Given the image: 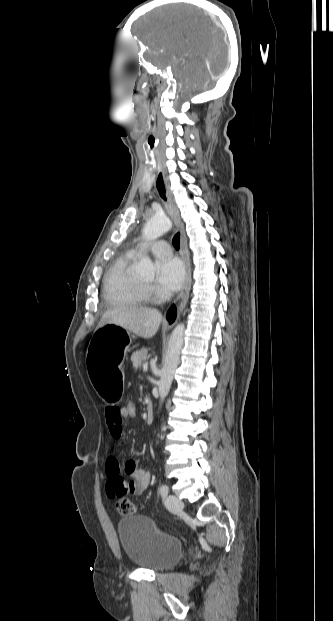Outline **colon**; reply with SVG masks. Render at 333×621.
I'll list each match as a JSON object with an SVG mask.
<instances>
[{"instance_id":"5ec220e1","label":"colon","mask_w":333,"mask_h":621,"mask_svg":"<svg viewBox=\"0 0 333 621\" xmlns=\"http://www.w3.org/2000/svg\"><path fill=\"white\" fill-rule=\"evenodd\" d=\"M120 407L126 419H134L138 414L136 402L131 398L123 399ZM116 508L121 515H132L135 513V506L128 498H120L117 501Z\"/></svg>"}]
</instances>
